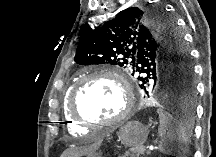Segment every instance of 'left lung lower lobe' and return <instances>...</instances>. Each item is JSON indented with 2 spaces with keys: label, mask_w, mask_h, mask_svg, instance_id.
Masks as SVG:
<instances>
[{
  "label": "left lung lower lobe",
  "mask_w": 216,
  "mask_h": 157,
  "mask_svg": "<svg viewBox=\"0 0 216 157\" xmlns=\"http://www.w3.org/2000/svg\"><path fill=\"white\" fill-rule=\"evenodd\" d=\"M184 122L186 123V125H188V123L190 122V119L188 117H186Z\"/></svg>",
  "instance_id": "1"
}]
</instances>
